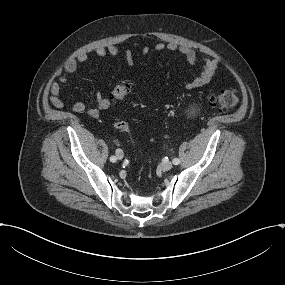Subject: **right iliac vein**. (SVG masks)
<instances>
[{
	"label": "right iliac vein",
	"instance_id": "right-iliac-vein-1",
	"mask_svg": "<svg viewBox=\"0 0 285 285\" xmlns=\"http://www.w3.org/2000/svg\"><path fill=\"white\" fill-rule=\"evenodd\" d=\"M116 156L118 160H121L124 157V153L122 150H117L116 151Z\"/></svg>",
	"mask_w": 285,
	"mask_h": 285
}]
</instances>
